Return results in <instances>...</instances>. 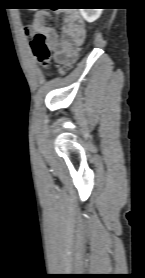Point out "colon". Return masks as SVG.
Masks as SVG:
<instances>
[{
  "mask_svg": "<svg viewBox=\"0 0 145 278\" xmlns=\"http://www.w3.org/2000/svg\"><path fill=\"white\" fill-rule=\"evenodd\" d=\"M31 46L34 54L42 67L47 68L50 65L51 51L42 33H37L31 40Z\"/></svg>",
  "mask_w": 145,
  "mask_h": 278,
  "instance_id": "5ec220e1",
  "label": "colon"
}]
</instances>
